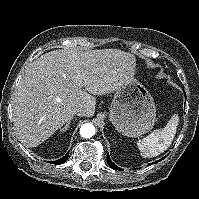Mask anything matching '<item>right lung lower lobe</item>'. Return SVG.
<instances>
[{"label":"right lung lower lobe","instance_id":"right-lung-lower-lobe-1","mask_svg":"<svg viewBox=\"0 0 199 199\" xmlns=\"http://www.w3.org/2000/svg\"><path fill=\"white\" fill-rule=\"evenodd\" d=\"M67 158H68V153L63 158H61V159H59L57 161H53L51 163H53V164H62V163H64L67 160Z\"/></svg>","mask_w":199,"mask_h":199}]
</instances>
